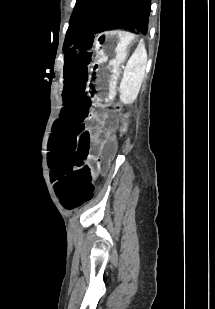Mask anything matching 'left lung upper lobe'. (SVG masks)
Masks as SVG:
<instances>
[{
  "instance_id": "left-lung-upper-lobe-1",
  "label": "left lung upper lobe",
  "mask_w": 215,
  "mask_h": 309,
  "mask_svg": "<svg viewBox=\"0 0 215 309\" xmlns=\"http://www.w3.org/2000/svg\"><path fill=\"white\" fill-rule=\"evenodd\" d=\"M151 0H77L64 48L111 29L147 34Z\"/></svg>"
}]
</instances>
